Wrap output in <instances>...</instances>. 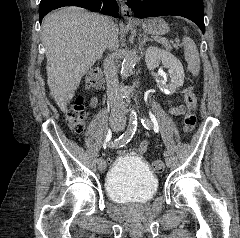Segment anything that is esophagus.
Returning <instances> with one entry per match:
<instances>
[{
  "instance_id": "1",
  "label": "esophagus",
  "mask_w": 240,
  "mask_h": 238,
  "mask_svg": "<svg viewBox=\"0 0 240 238\" xmlns=\"http://www.w3.org/2000/svg\"><path fill=\"white\" fill-rule=\"evenodd\" d=\"M121 15L126 20L134 19L131 9L125 3L121 4Z\"/></svg>"
}]
</instances>
